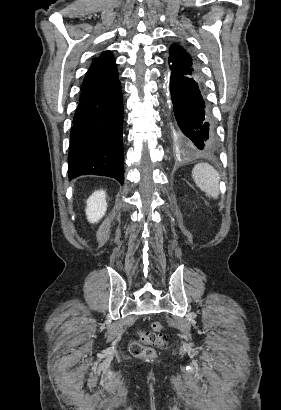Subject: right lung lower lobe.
<instances>
[{"mask_svg":"<svg viewBox=\"0 0 281 410\" xmlns=\"http://www.w3.org/2000/svg\"><path fill=\"white\" fill-rule=\"evenodd\" d=\"M123 98L120 81L81 95L70 133L69 179L102 175L124 182Z\"/></svg>","mask_w":281,"mask_h":410,"instance_id":"right-lung-lower-lobe-1","label":"right lung lower lobe"}]
</instances>
